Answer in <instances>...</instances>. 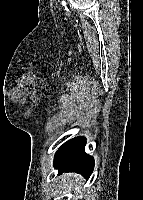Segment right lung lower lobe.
<instances>
[{
  "label": "right lung lower lobe",
  "instance_id": "1",
  "mask_svg": "<svg viewBox=\"0 0 143 200\" xmlns=\"http://www.w3.org/2000/svg\"><path fill=\"white\" fill-rule=\"evenodd\" d=\"M86 139L82 136L64 143L56 152L54 167L62 172H77L86 179L90 177L94 168L93 157L85 153Z\"/></svg>",
  "mask_w": 143,
  "mask_h": 200
}]
</instances>
